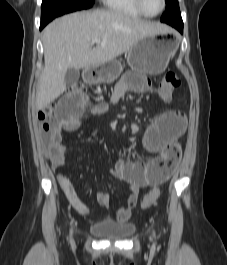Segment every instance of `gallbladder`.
Listing matches in <instances>:
<instances>
[{
	"mask_svg": "<svg viewBox=\"0 0 227 265\" xmlns=\"http://www.w3.org/2000/svg\"><path fill=\"white\" fill-rule=\"evenodd\" d=\"M80 78V72L78 69L69 68L65 75V82L67 85L76 83Z\"/></svg>",
	"mask_w": 227,
	"mask_h": 265,
	"instance_id": "obj_1",
	"label": "gallbladder"
}]
</instances>
